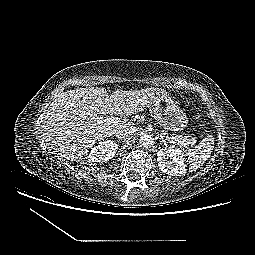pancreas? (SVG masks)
<instances>
[{"label": "pancreas", "instance_id": "cf45deb5", "mask_svg": "<svg viewBox=\"0 0 255 255\" xmlns=\"http://www.w3.org/2000/svg\"><path fill=\"white\" fill-rule=\"evenodd\" d=\"M167 140L173 143H178L182 146H189L195 144V139L191 136H182V135H175L167 137Z\"/></svg>", "mask_w": 255, "mask_h": 255}]
</instances>
